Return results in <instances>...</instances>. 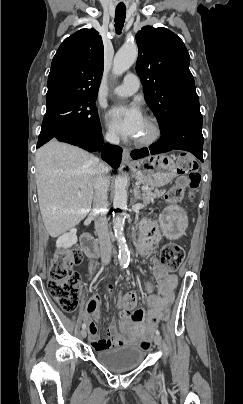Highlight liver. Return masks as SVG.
Listing matches in <instances>:
<instances>
[{
	"label": "liver",
	"instance_id": "1",
	"mask_svg": "<svg viewBox=\"0 0 243 404\" xmlns=\"http://www.w3.org/2000/svg\"><path fill=\"white\" fill-rule=\"evenodd\" d=\"M35 162L42 220L49 236L58 238L89 214L99 158L52 140L37 150Z\"/></svg>",
	"mask_w": 243,
	"mask_h": 404
}]
</instances>
